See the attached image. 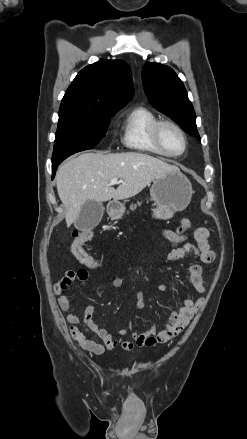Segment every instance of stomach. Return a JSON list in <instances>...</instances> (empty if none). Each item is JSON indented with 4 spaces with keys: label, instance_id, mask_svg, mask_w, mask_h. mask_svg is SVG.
Returning a JSON list of instances; mask_svg holds the SVG:
<instances>
[{
    "label": "stomach",
    "instance_id": "1",
    "mask_svg": "<svg viewBox=\"0 0 247 439\" xmlns=\"http://www.w3.org/2000/svg\"><path fill=\"white\" fill-rule=\"evenodd\" d=\"M193 194L191 182L180 171H171L153 181L150 195L155 208L153 216L159 219H168L177 211L184 210L190 203ZM125 207L115 203L109 208V215L113 219H121Z\"/></svg>",
    "mask_w": 247,
    "mask_h": 439
}]
</instances>
